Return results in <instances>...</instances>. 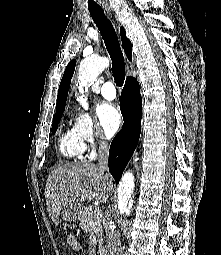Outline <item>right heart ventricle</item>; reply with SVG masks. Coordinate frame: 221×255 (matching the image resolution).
<instances>
[{
	"label": "right heart ventricle",
	"mask_w": 221,
	"mask_h": 255,
	"mask_svg": "<svg viewBox=\"0 0 221 255\" xmlns=\"http://www.w3.org/2000/svg\"><path fill=\"white\" fill-rule=\"evenodd\" d=\"M60 153L69 159H80L83 157L86 147L80 139L75 126L68 127L59 137Z\"/></svg>",
	"instance_id": "obj_1"
}]
</instances>
